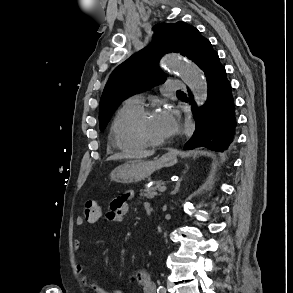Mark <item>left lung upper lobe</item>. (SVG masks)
<instances>
[{"instance_id":"5c2ea615","label":"left lung upper lobe","mask_w":293,"mask_h":293,"mask_svg":"<svg viewBox=\"0 0 293 293\" xmlns=\"http://www.w3.org/2000/svg\"><path fill=\"white\" fill-rule=\"evenodd\" d=\"M152 43L124 61L110 75L99 105V126L104 129L120 103L129 95L151 89L166 80L158 67L161 57L178 52L198 64L205 43L200 32L182 21L158 24Z\"/></svg>"}]
</instances>
